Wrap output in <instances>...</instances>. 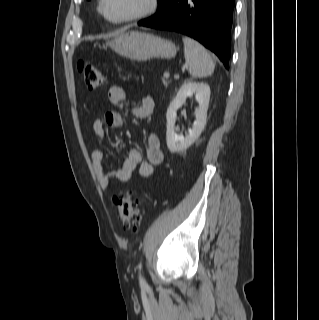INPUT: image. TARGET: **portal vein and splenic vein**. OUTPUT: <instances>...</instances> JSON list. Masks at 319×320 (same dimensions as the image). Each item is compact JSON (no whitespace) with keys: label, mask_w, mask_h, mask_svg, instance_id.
Segmentation results:
<instances>
[{"label":"portal vein and splenic vein","mask_w":319,"mask_h":320,"mask_svg":"<svg viewBox=\"0 0 319 320\" xmlns=\"http://www.w3.org/2000/svg\"><path fill=\"white\" fill-rule=\"evenodd\" d=\"M170 74L168 72L164 73L165 78H169Z\"/></svg>","instance_id":"portal-vein-and-splenic-vein-1"}]
</instances>
